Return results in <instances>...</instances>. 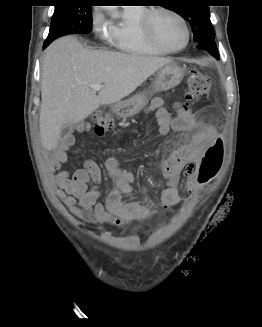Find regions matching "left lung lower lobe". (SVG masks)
Returning a JSON list of instances; mask_svg holds the SVG:
<instances>
[{
	"label": "left lung lower lobe",
	"mask_w": 262,
	"mask_h": 327,
	"mask_svg": "<svg viewBox=\"0 0 262 327\" xmlns=\"http://www.w3.org/2000/svg\"><path fill=\"white\" fill-rule=\"evenodd\" d=\"M198 49H204L208 51L210 54L215 56L217 59H219V53L217 51L215 38L214 37H208L200 42L197 43Z\"/></svg>",
	"instance_id": "1"
}]
</instances>
